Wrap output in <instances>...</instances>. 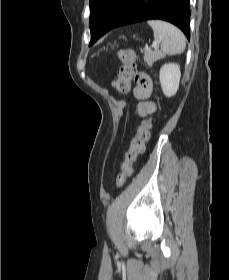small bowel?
<instances>
[{"label": "small bowel", "mask_w": 229, "mask_h": 280, "mask_svg": "<svg viewBox=\"0 0 229 280\" xmlns=\"http://www.w3.org/2000/svg\"><path fill=\"white\" fill-rule=\"evenodd\" d=\"M131 82L132 81L129 82L127 91L124 92V93H121V94H127V93L130 92V90H131ZM117 84H118V80L114 83V85L117 86ZM149 94L150 93L146 94L139 85L137 87H135L134 90H133V95L138 100H146V99H148ZM154 110H155V106L150 101H144V102L139 103V105H138V114L141 115V116L149 115Z\"/></svg>", "instance_id": "1"}]
</instances>
